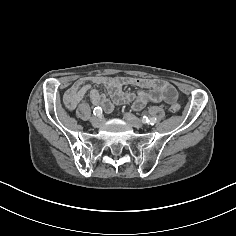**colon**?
<instances>
[{
  "label": "colon",
  "mask_w": 236,
  "mask_h": 236,
  "mask_svg": "<svg viewBox=\"0 0 236 236\" xmlns=\"http://www.w3.org/2000/svg\"><path fill=\"white\" fill-rule=\"evenodd\" d=\"M169 110L172 112V113H177L179 110H180V106L178 104H172L170 107H169Z\"/></svg>",
  "instance_id": "5ec220e1"
}]
</instances>
